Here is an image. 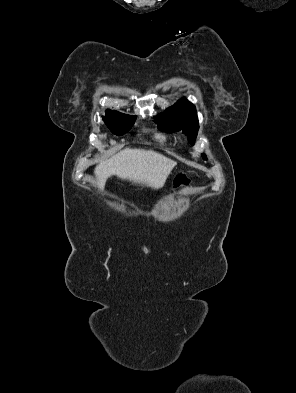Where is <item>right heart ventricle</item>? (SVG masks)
I'll return each instance as SVG.
<instances>
[{"instance_id": "right-heart-ventricle-1", "label": "right heart ventricle", "mask_w": 296, "mask_h": 393, "mask_svg": "<svg viewBox=\"0 0 296 393\" xmlns=\"http://www.w3.org/2000/svg\"><path fill=\"white\" fill-rule=\"evenodd\" d=\"M155 138L161 142L166 141L167 137L162 133H156Z\"/></svg>"}]
</instances>
